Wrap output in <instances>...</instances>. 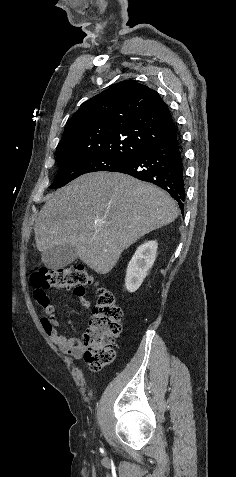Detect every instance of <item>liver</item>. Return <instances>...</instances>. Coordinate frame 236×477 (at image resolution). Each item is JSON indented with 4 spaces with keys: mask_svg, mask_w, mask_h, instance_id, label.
Wrapping results in <instances>:
<instances>
[{
    "mask_svg": "<svg viewBox=\"0 0 236 477\" xmlns=\"http://www.w3.org/2000/svg\"><path fill=\"white\" fill-rule=\"evenodd\" d=\"M179 210L163 190L122 173L83 175L57 190L34 224L36 247L69 244L98 274L145 234L172 223Z\"/></svg>",
    "mask_w": 236,
    "mask_h": 477,
    "instance_id": "obj_1",
    "label": "liver"
}]
</instances>
